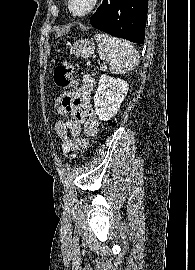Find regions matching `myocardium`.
I'll return each mask as SVG.
<instances>
[{"label": "myocardium", "instance_id": "myocardium-1", "mask_svg": "<svg viewBox=\"0 0 195 270\" xmlns=\"http://www.w3.org/2000/svg\"><path fill=\"white\" fill-rule=\"evenodd\" d=\"M100 3V0H93L92 1V4L90 5V7L82 12V13H76L72 10L71 8V0H66V5H67V9L69 11V13L74 16V17H85V16H88L89 14H91L99 5Z\"/></svg>", "mask_w": 195, "mask_h": 270}]
</instances>
